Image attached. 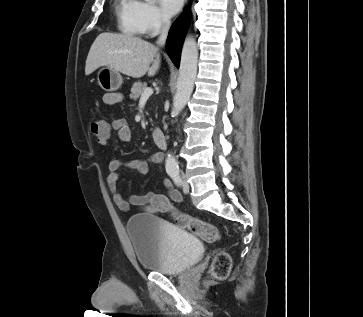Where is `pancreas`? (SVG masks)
Listing matches in <instances>:
<instances>
[{
    "label": "pancreas",
    "instance_id": "cf45deb5",
    "mask_svg": "<svg viewBox=\"0 0 363 317\" xmlns=\"http://www.w3.org/2000/svg\"><path fill=\"white\" fill-rule=\"evenodd\" d=\"M147 88L146 83L135 82L131 88L130 99L137 100Z\"/></svg>",
    "mask_w": 363,
    "mask_h": 317
}]
</instances>
